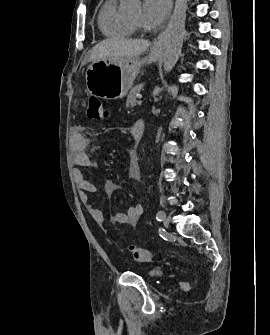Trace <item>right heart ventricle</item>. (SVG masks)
<instances>
[{
  "label": "right heart ventricle",
  "mask_w": 270,
  "mask_h": 335,
  "mask_svg": "<svg viewBox=\"0 0 270 335\" xmlns=\"http://www.w3.org/2000/svg\"><path fill=\"white\" fill-rule=\"evenodd\" d=\"M116 0L105 1L98 13V26L105 37L128 38L134 34V29L128 19L119 14Z\"/></svg>",
  "instance_id": "e07e8e85"
}]
</instances>
